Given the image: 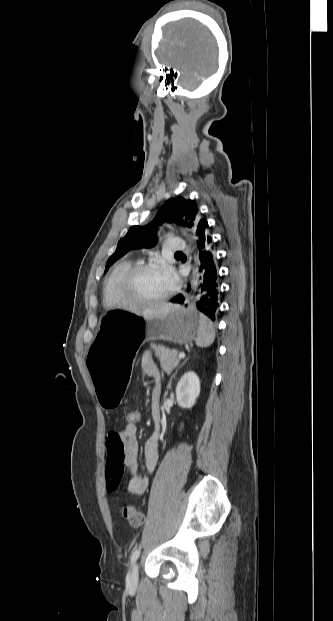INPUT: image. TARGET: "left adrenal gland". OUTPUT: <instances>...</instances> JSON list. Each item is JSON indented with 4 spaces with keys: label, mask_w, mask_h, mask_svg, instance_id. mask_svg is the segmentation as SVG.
<instances>
[{
    "label": "left adrenal gland",
    "mask_w": 333,
    "mask_h": 621,
    "mask_svg": "<svg viewBox=\"0 0 333 621\" xmlns=\"http://www.w3.org/2000/svg\"><path fill=\"white\" fill-rule=\"evenodd\" d=\"M187 361H188V359H186V360H185V361H184V362H183V363H182V364H181V365H180V366L176 369V371L174 372V374H172V376H171V378H170L169 386H170V384H171L172 378H173V377L177 374L178 370H179L182 366H184V365L186 364V362H187Z\"/></svg>",
    "instance_id": "a2214340"
}]
</instances>
